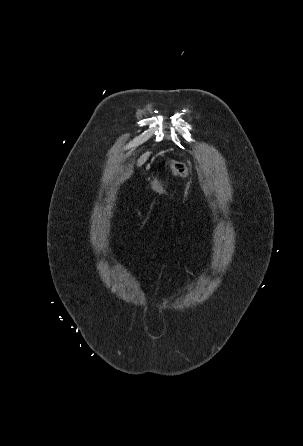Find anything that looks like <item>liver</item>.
Segmentation results:
<instances>
[{"label": "liver", "instance_id": "6515ba94", "mask_svg": "<svg viewBox=\"0 0 303 446\" xmlns=\"http://www.w3.org/2000/svg\"><path fill=\"white\" fill-rule=\"evenodd\" d=\"M149 156H150V153H149V152L144 153V154L138 159V161H137V166H138V167L142 166V165L147 161V159L149 158Z\"/></svg>", "mask_w": 303, "mask_h": 446}]
</instances>
